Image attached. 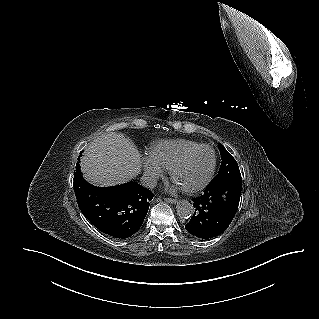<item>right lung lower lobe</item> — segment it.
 Listing matches in <instances>:
<instances>
[{
    "label": "right lung lower lobe",
    "instance_id": "1",
    "mask_svg": "<svg viewBox=\"0 0 319 319\" xmlns=\"http://www.w3.org/2000/svg\"><path fill=\"white\" fill-rule=\"evenodd\" d=\"M73 184L83 215L101 232L114 238H128L137 232L154 196L136 182L107 188L95 187L83 179L79 162Z\"/></svg>",
    "mask_w": 319,
    "mask_h": 319
}]
</instances>
